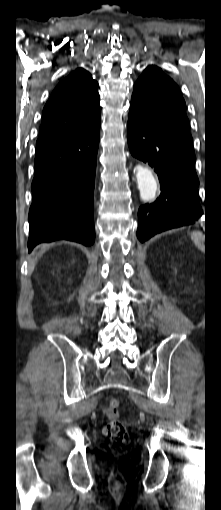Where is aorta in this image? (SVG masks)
<instances>
[{
  "label": "aorta",
  "instance_id": "762f6f07",
  "mask_svg": "<svg viewBox=\"0 0 221 510\" xmlns=\"http://www.w3.org/2000/svg\"><path fill=\"white\" fill-rule=\"evenodd\" d=\"M134 172L136 173L141 199L144 201L154 199L157 191V182L152 172L141 165L136 166Z\"/></svg>",
  "mask_w": 221,
  "mask_h": 510
}]
</instances>
